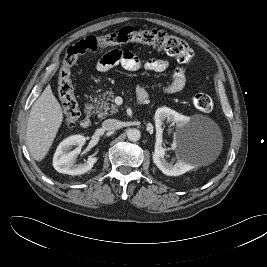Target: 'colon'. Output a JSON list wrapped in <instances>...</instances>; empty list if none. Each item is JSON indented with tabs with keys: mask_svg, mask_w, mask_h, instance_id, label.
Instances as JSON below:
<instances>
[{
	"mask_svg": "<svg viewBox=\"0 0 267 267\" xmlns=\"http://www.w3.org/2000/svg\"><path fill=\"white\" fill-rule=\"evenodd\" d=\"M125 43L149 45L156 50L164 51L168 55L175 57L181 63H189L194 55L193 50L186 41L156 29L136 30L132 27H124L117 32L98 37L89 36L80 40L66 50L58 73V93L67 125L73 126L80 116L71 73V69L79 56L87 52H95L107 46ZM192 102L198 111L204 113L211 111L213 107L211 97L205 93L194 95Z\"/></svg>",
	"mask_w": 267,
	"mask_h": 267,
	"instance_id": "1",
	"label": "colon"
}]
</instances>
